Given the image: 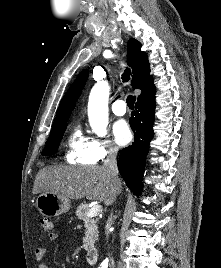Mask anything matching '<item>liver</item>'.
I'll list each match as a JSON object with an SVG mask.
<instances>
[{
  "instance_id": "6515ba94",
  "label": "liver",
  "mask_w": 221,
  "mask_h": 268,
  "mask_svg": "<svg viewBox=\"0 0 221 268\" xmlns=\"http://www.w3.org/2000/svg\"><path fill=\"white\" fill-rule=\"evenodd\" d=\"M121 191V183L115 185L103 166L74 167L48 166L36 175L33 194L50 192L67 199L114 202Z\"/></svg>"
}]
</instances>
